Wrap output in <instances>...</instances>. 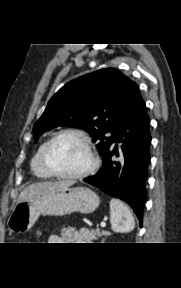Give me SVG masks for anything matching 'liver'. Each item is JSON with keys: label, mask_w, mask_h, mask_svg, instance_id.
Masks as SVG:
<instances>
[{"label": "liver", "mask_w": 181, "mask_h": 288, "mask_svg": "<svg viewBox=\"0 0 181 288\" xmlns=\"http://www.w3.org/2000/svg\"><path fill=\"white\" fill-rule=\"evenodd\" d=\"M74 184L73 181H59V182H41V183H34L27 186L19 195L18 201H23L29 197H33L35 195L42 194L49 190L54 189H62L65 187H69Z\"/></svg>", "instance_id": "1"}]
</instances>
